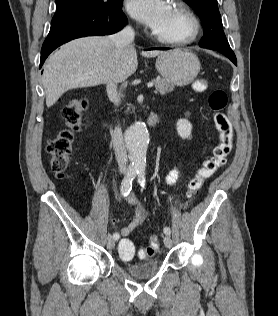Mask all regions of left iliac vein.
<instances>
[{"mask_svg": "<svg viewBox=\"0 0 278 316\" xmlns=\"http://www.w3.org/2000/svg\"><path fill=\"white\" fill-rule=\"evenodd\" d=\"M164 245H165L167 248H171V247H172L173 242H172V239H171L169 236H165V237H164Z\"/></svg>", "mask_w": 278, "mask_h": 316, "instance_id": "4c4485c4", "label": "left iliac vein"}]
</instances>
